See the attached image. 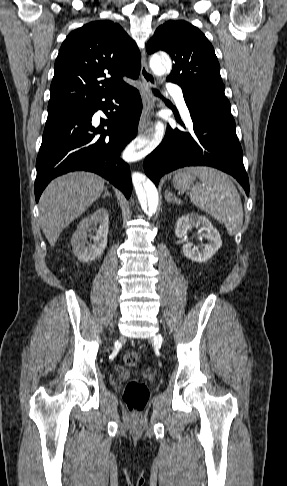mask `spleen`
Masks as SVG:
<instances>
[{
    "mask_svg": "<svg viewBox=\"0 0 287 486\" xmlns=\"http://www.w3.org/2000/svg\"><path fill=\"white\" fill-rule=\"evenodd\" d=\"M189 171L200 179L191 190L192 203L224 224L230 236L236 235L243 224V207L229 176L211 167H193Z\"/></svg>",
    "mask_w": 287,
    "mask_h": 486,
    "instance_id": "obj_1",
    "label": "spleen"
}]
</instances>
